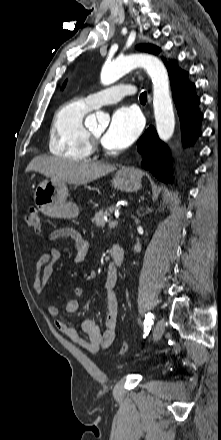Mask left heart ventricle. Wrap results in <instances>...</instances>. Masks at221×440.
<instances>
[{
  "label": "left heart ventricle",
  "mask_w": 221,
  "mask_h": 440,
  "mask_svg": "<svg viewBox=\"0 0 221 440\" xmlns=\"http://www.w3.org/2000/svg\"><path fill=\"white\" fill-rule=\"evenodd\" d=\"M91 132H92L95 136L100 137V136L102 135V133H103V130H102V129H93Z\"/></svg>",
  "instance_id": "obj_1"
}]
</instances>
